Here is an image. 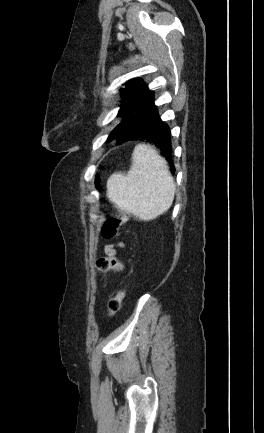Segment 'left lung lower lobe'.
<instances>
[{
	"mask_svg": "<svg viewBox=\"0 0 264 433\" xmlns=\"http://www.w3.org/2000/svg\"><path fill=\"white\" fill-rule=\"evenodd\" d=\"M121 123L128 131L126 141L141 140L153 143L170 162L171 172L175 171L172 162L170 128L160 119L152 92L147 90L124 115ZM117 142L120 144L125 141Z\"/></svg>",
	"mask_w": 264,
	"mask_h": 433,
	"instance_id": "1",
	"label": "left lung lower lobe"
}]
</instances>
